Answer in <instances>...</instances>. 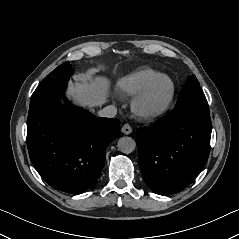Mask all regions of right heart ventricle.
Here are the masks:
<instances>
[{
  "label": "right heart ventricle",
  "instance_id": "right-heart-ventricle-1",
  "mask_svg": "<svg viewBox=\"0 0 239 239\" xmlns=\"http://www.w3.org/2000/svg\"><path fill=\"white\" fill-rule=\"evenodd\" d=\"M159 73L149 68H142L124 76L118 84L119 91L125 96L138 94Z\"/></svg>",
  "mask_w": 239,
  "mask_h": 239
}]
</instances>
